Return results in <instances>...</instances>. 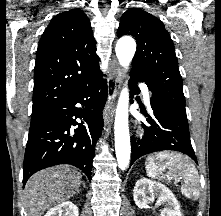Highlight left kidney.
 <instances>
[{
	"label": "left kidney",
	"instance_id": "obj_1",
	"mask_svg": "<svg viewBox=\"0 0 221 216\" xmlns=\"http://www.w3.org/2000/svg\"><path fill=\"white\" fill-rule=\"evenodd\" d=\"M155 196L158 197L159 204H165L160 216H182L180 205L168 187L145 177L136 182L133 197L139 208H148V204Z\"/></svg>",
	"mask_w": 221,
	"mask_h": 216
}]
</instances>
